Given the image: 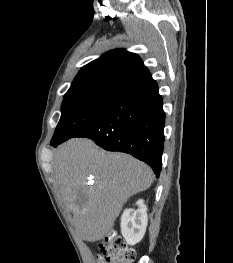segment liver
Instances as JSON below:
<instances>
[{
    "label": "liver",
    "instance_id": "6515ba94",
    "mask_svg": "<svg viewBox=\"0 0 233 263\" xmlns=\"http://www.w3.org/2000/svg\"><path fill=\"white\" fill-rule=\"evenodd\" d=\"M54 174L77 234L89 242L103 239L128 198L148 189L153 180L145 163L105 152L86 138L70 139L57 148Z\"/></svg>",
    "mask_w": 233,
    "mask_h": 263
}]
</instances>
